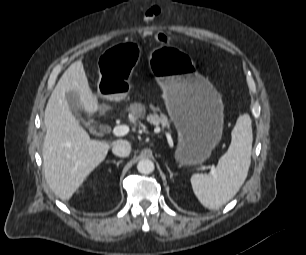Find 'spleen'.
<instances>
[{
    "label": "spleen",
    "instance_id": "spleen-1",
    "mask_svg": "<svg viewBox=\"0 0 306 255\" xmlns=\"http://www.w3.org/2000/svg\"><path fill=\"white\" fill-rule=\"evenodd\" d=\"M227 152L219 159L213 174H194L193 191L208 209H218L231 200L243 185L251 163L252 124L248 114L237 119Z\"/></svg>",
    "mask_w": 306,
    "mask_h": 255
}]
</instances>
